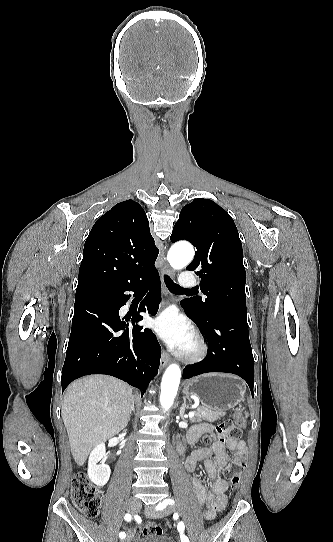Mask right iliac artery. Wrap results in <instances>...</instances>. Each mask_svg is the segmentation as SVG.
Returning a JSON list of instances; mask_svg holds the SVG:
<instances>
[{"mask_svg":"<svg viewBox=\"0 0 333 542\" xmlns=\"http://www.w3.org/2000/svg\"><path fill=\"white\" fill-rule=\"evenodd\" d=\"M124 519H125L126 521H130V520H131V515H130V514H126L125 517H124ZM119 537H120L121 539H123V538L126 537V534H125L124 532H120V533H119Z\"/></svg>","mask_w":333,"mask_h":542,"instance_id":"82829eb1","label":"right iliac artery"}]
</instances>
